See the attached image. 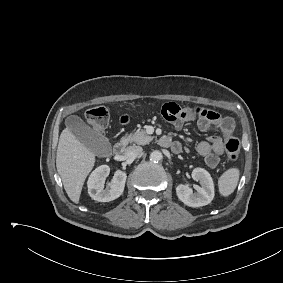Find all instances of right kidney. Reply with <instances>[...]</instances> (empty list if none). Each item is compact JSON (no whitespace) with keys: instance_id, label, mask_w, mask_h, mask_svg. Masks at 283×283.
<instances>
[{"instance_id":"right-kidney-1","label":"right kidney","mask_w":283,"mask_h":283,"mask_svg":"<svg viewBox=\"0 0 283 283\" xmlns=\"http://www.w3.org/2000/svg\"><path fill=\"white\" fill-rule=\"evenodd\" d=\"M110 173L108 165L97 167L89 176L87 187L90 197L99 202H109L117 199L124 191L127 175L123 171H116L111 185L104 189V183Z\"/></svg>"}]
</instances>
